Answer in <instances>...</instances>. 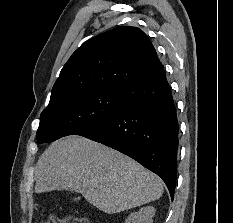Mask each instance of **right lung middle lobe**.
<instances>
[{"label":"right lung middle lobe","instance_id":"obj_1","mask_svg":"<svg viewBox=\"0 0 233 223\" xmlns=\"http://www.w3.org/2000/svg\"><path fill=\"white\" fill-rule=\"evenodd\" d=\"M120 93L118 88H92L50 101L40 115L38 143L79 135L114 115L121 108Z\"/></svg>","mask_w":233,"mask_h":223}]
</instances>
